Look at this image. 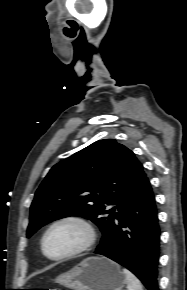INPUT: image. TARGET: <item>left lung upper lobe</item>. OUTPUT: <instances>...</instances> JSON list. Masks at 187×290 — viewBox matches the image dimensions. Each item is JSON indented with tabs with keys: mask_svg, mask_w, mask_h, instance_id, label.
<instances>
[{
	"mask_svg": "<svg viewBox=\"0 0 187 290\" xmlns=\"http://www.w3.org/2000/svg\"><path fill=\"white\" fill-rule=\"evenodd\" d=\"M145 177L131 150L114 139L94 142L49 171L35 193L27 237L51 221L81 216L100 228L104 241L115 208Z\"/></svg>",
	"mask_w": 187,
	"mask_h": 290,
	"instance_id": "obj_1",
	"label": "left lung upper lobe"
}]
</instances>
